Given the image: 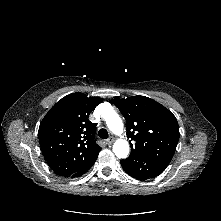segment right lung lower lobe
<instances>
[{
    "mask_svg": "<svg viewBox=\"0 0 221 221\" xmlns=\"http://www.w3.org/2000/svg\"><path fill=\"white\" fill-rule=\"evenodd\" d=\"M95 161H96V159L94 161L90 162L88 165H86L84 168H82L78 172L74 173L72 176H70V178L79 177V176L83 175L84 173H86L93 166Z\"/></svg>",
    "mask_w": 221,
    "mask_h": 221,
    "instance_id": "1",
    "label": "right lung lower lobe"
}]
</instances>
